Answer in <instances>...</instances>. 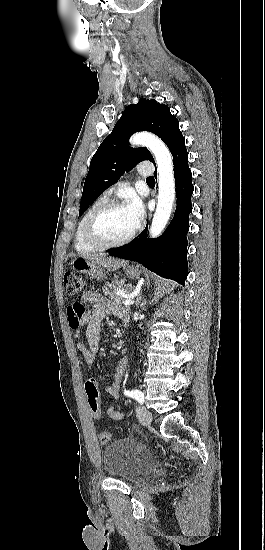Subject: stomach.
<instances>
[{
  "mask_svg": "<svg viewBox=\"0 0 265 550\" xmlns=\"http://www.w3.org/2000/svg\"><path fill=\"white\" fill-rule=\"evenodd\" d=\"M72 268L80 273L90 275L93 278H103V270L101 266L94 260L86 259L84 257H76L71 262ZM126 275L131 279H136L141 275L140 269L135 266H128L125 268Z\"/></svg>",
  "mask_w": 265,
  "mask_h": 550,
  "instance_id": "obj_1",
  "label": "stomach"
}]
</instances>
